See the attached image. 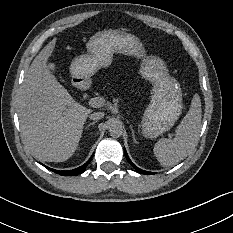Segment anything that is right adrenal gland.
<instances>
[{
  "mask_svg": "<svg viewBox=\"0 0 233 233\" xmlns=\"http://www.w3.org/2000/svg\"><path fill=\"white\" fill-rule=\"evenodd\" d=\"M96 123H97V121H94V122L89 123V125L86 127V129H88L91 125H94V124H96Z\"/></svg>",
  "mask_w": 233,
  "mask_h": 233,
  "instance_id": "2a0ac1e0",
  "label": "right adrenal gland"
}]
</instances>
